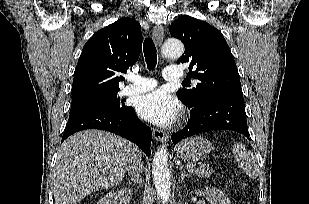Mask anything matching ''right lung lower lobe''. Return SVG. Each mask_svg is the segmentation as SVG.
Segmentation results:
<instances>
[{"label":"right lung lower lobe","instance_id":"98d812e1","mask_svg":"<svg viewBox=\"0 0 309 204\" xmlns=\"http://www.w3.org/2000/svg\"><path fill=\"white\" fill-rule=\"evenodd\" d=\"M85 129H100L115 133L135 142L147 156L151 154V129L137 117L133 107H128L123 113L105 110L72 113L66 124L62 141Z\"/></svg>","mask_w":309,"mask_h":204}]
</instances>
